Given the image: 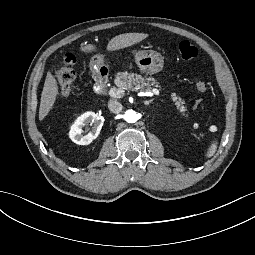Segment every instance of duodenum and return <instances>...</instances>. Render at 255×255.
<instances>
[{"label": "duodenum", "mask_w": 255, "mask_h": 255, "mask_svg": "<svg viewBox=\"0 0 255 255\" xmlns=\"http://www.w3.org/2000/svg\"><path fill=\"white\" fill-rule=\"evenodd\" d=\"M106 84V75L105 73H102L101 71H98L96 73V82H95V86L96 89L101 92Z\"/></svg>", "instance_id": "1"}]
</instances>
